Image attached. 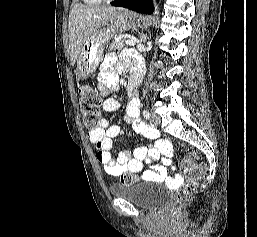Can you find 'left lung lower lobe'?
<instances>
[{"label":"left lung lower lobe","mask_w":257,"mask_h":237,"mask_svg":"<svg viewBox=\"0 0 257 237\" xmlns=\"http://www.w3.org/2000/svg\"><path fill=\"white\" fill-rule=\"evenodd\" d=\"M112 6H121L139 13H152V0H118L111 2Z\"/></svg>","instance_id":"0a47b994"}]
</instances>
